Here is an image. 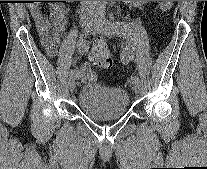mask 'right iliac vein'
Returning <instances> with one entry per match:
<instances>
[{"mask_svg": "<svg viewBox=\"0 0 207 169\" xmlns=\"http://www.w3.org/2000/svg\"><path fill=\"white\" fill-rule=\"evenodd\" d=\"M93 20L91 18H83L81 26L84 32H89L92 28ZM76 85L75 78H69L68 87L70 91H74Z\"/></svg>", "mask_w": 207, "mask_h": 169, "instance_id": "right-iliac-vein-1", "label": "right iliac vein"}]
</instances>
